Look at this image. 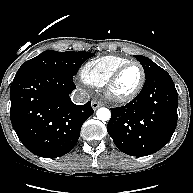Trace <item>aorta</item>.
Instances as JSON below:
<instances>
[{"instance_id": "1", "label": "aorta", "mask_w": 193, "mask_h": 193, "mask_svg": "<svg viewBox=\"0 0 193 193\" xmlns=\"http://www.w3.org/2000/svg\"><path fill=\"white\" fill-rule=\"evenodd\" d=\"M97 118L101 121H107L111 117V112L107 108H99L96 112Z\"/></svg>"}]
</instances>
